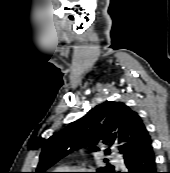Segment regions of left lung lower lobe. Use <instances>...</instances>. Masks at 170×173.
<instances>
[{
	"mask_svg": "<svg viewBox=\"0 0 170 173\" xmlns=\"http://www.w3.org/2000/svg\"><path fill=\"white\" fill-rule=\"evenodd\" d=\"M126 173H157L152 141L124 155ZM113 173H120L114 170Z\"/></svg>",
	"mask_w": 170,
	"mask_h": 173,
	"instance_id": "obj_1",
	"label": "left lung lower lobe"
}]
</instances>
